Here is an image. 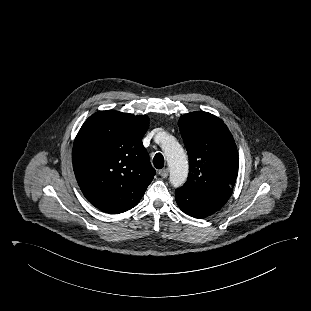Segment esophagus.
Wrapping results in <instances>:
<instances>
[{"label": "esophagus", "instance_id": "obj_1", "mask_svg": "<svg viewBox=\"0 0 311 311\" xmlns=\"http://www.w3.org/2000/svg\"><path fill=\"white\" fill-rule=\"evenodd\" d=\"M169 174V170L168 168H164L162 170L159 171V175L162 177V178H166Z\"/></svg>", "mask_w": 311, "mask_h": 311}]
</instances>
